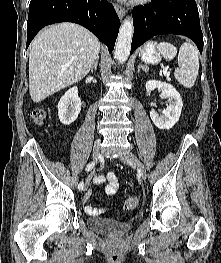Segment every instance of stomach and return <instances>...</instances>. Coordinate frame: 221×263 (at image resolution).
<instances>
[{
  "mask_svg": "<svg viewBox=\"0 0 221 263\" xmlns=\"http://www.w3.org/2000/svg\"><path fill=\"white\" fill-rule=\"evenodd\" d=\"M141 59L148 64H157L161 60L160 53L155 49V43H148L141 51Z\"/></svg>",
  "mask_w": 221,
  "mask_h": 263,
  "instance_id": "obj_1",
  "label": "stomach"
}]
</instances>
